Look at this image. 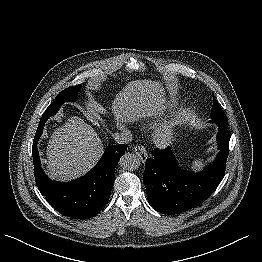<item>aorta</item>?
I'll return each mask as SVG.
<instances>
[{
    "mask_svg": "<svg viewBox=\"0 0 262 262\" xmlns=\"http://www.w3.org/2000/svg\"><path fill=\"white\" fill-rule=\"evenodd\" d=\"M120 166L128 171H134L139 168L140 160L132 153H126L120 158Z\"/></svg>",
    "mask_w": 262,
    "mask_h": 262,
    "instance_id": "1",
    "label": "aorta"
}]
</instances>
